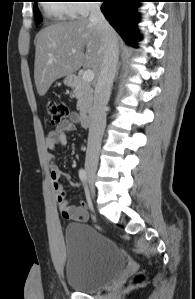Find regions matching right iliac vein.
<instances>
[{"mask_svg": "<svg viewBox=\"0 0 195 299\" xmlns=\"http://www.w3.org/2000/svg\"><path fill=\"white\" fill-rule=\"evenodd\" d=\"M88 182L91 187V192L94 193V182L96 179V167L94 165H87L86 167Z\"/></svg>", "mask_w": 195, "mask_h": 299, "instance_id": "1", "label": "right iliac vein"}]
</instances>
